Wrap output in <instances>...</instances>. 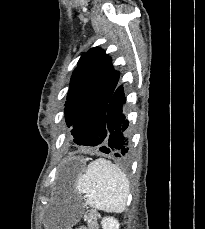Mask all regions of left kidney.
Returning <instances> with one entry per match:
<instances>
[{
	"mask_svg": "<svg viewBox=\"0 0 205 229\" xmlns=\"http://www.w3.org/2000/svg\"><path fill=\"white\" fill-rule=\"evenodd\" d=\"M102 228L103 229H119V222L113 217H104L102 219Z\"/></svg>",
	"mask_w": 205,
	"mask_h": 229,
	"instance_id": "obj_1",
	"label": "left kidney"
}]
</instances>
